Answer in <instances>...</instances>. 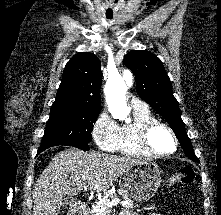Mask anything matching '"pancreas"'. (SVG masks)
<instances>
[{
  "label": "pancreas",
  "instance_id": "pancreas-1",
  "mask_svg": "<svg viewBox=\"0 0 221 215\" xmlns=\"http://www.w3.org/2000/svg\"><path fill=\"white\" fill-rule=\"evenodd\" d=\"M118 194L124 198V201L121 202V205L125 209H132V208L138 207V205L134 204V202L130 200L123 191L118 190ZM113 197H114L113 192H107L102 198V201H98L93 207L92 215H109L108 212L110 211V207L106 206L103 200L108 202L110 201V198H113Z\"/></svg>",
  "mask_w": 221,
  "mask_h": 215
}]
</instances>
